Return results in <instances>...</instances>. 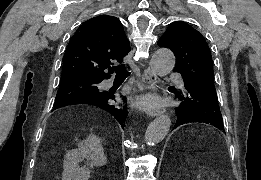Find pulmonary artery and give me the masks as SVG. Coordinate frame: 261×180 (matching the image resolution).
<instances>
[{"mask_svg":"<svg viewBox=\"0 0 261 180\" xmlns=\"http://www.w3.org/2000/svg\"><path fill=\"white\" fill-rule=\"evenodd\" d=\"M165 77H180V72H165ZM166 83H181V78H166ZM104 84L109 86L111 83L105 81Z\"/></svg>","mask_w":261,"mask_h":180,"instance_id":"obj_1","label":"pulmonary artery"}]
</instances>
